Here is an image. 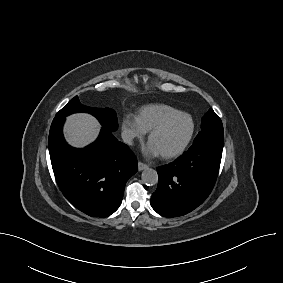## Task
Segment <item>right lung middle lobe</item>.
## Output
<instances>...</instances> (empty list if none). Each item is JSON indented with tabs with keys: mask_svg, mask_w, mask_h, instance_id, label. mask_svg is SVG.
Listing matches in <instances>:
<instances>
[{
	"mask_svg": "<svg viewBox=\"0 0 283 283\" xmlns=\"http://www.w3.org/2000/svg\"><path fill=\"white\" fill-rule=\"evenodd\" d=\"M75 112H88L94 115L102 127L111 131L118 128V121L116 112L110 108H90L82 105L79 102L78 96H75L66 106H64L55 117H66Z\"/></svg>",
	"mask_w": 283,
	"mask_h": 283,
	"instance_id": "1",
	"label": "right lung middle lobe"
}]
</instances>
